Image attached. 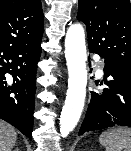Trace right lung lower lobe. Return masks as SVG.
<instances>
[{
	"label": "right lung lower lobe",
	"instance_id": "right-lung-lower-lobe-1",
	"mask_svg": "<svg viewBox=\"0 0 131 151\" xmlns=\"http://www.w3.org/2000/svg\"><path fill=\"white\" fill-rule=\"evenodd\" d=\"M41 41L18 46H0V119L31 140L35 107L34 75L41 54ZM15 81L7 84L5 74Z\"/></svg>",
	"mask_w": 131,
	"mask_h": 151
}]
</instances>
